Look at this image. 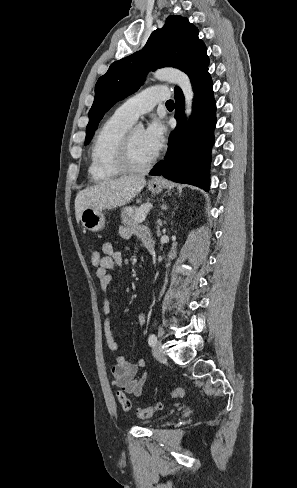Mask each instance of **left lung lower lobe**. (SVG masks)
<instances>
[{
	"mask_svg": "<svg viewBox=\"0 0 297 488\" xmlns=\"http://www.w3.org/2000/svg\"><path fill=\"white\" fill-rule=\"evenodd\" d=\"M192 85L194 103L188 127L185 129L184 126V96L182 91H176L177 127L169 136L166 157L149 174L162 175L172 181L192 184L208 191L216 125V103L210 74L200 75Z\"/></svg>",
	"mask_w": 297,
	"mask_h": 488,
	"instance_id": "0a47b994",
	"label": "left lung lower lobe"
}]
</instances>
